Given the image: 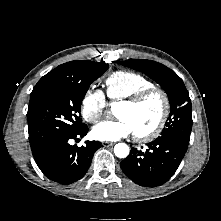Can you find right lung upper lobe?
Listing matches in <instances>:
<instances>
[{
	"label": "right lung upper lobe",
	"mask_w": 221,
	"mask_h": 221,
	"mask_svg": "<svg viewBox=\"0 0 221 221\" xmlns=\"http://www.w3.org/2000/svg\"><path fill=\"white\" fill-rule=\"evenodd\" d=\"M69 66H70V62L56 67L55 69H53L52 71L47 73L45 76H43L39 80V82L36 84L35 87H38L39 85H41L42 83H44L48 80H52V79L62 77V76H65V75L69 74V72H70V67Z\"/></svg>",
	"instance_id": "1"
}]
</instances>
